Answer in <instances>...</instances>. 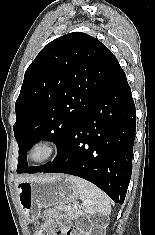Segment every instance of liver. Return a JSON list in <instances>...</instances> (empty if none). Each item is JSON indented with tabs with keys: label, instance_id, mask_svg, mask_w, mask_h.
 <instances>
[{
	"label": "liver",
	"instance_id": "1",
	"mask_svg": "<svg viewBox=\"0 0 155 235\" xmlns=\"http://www.w3.org/2000/svg\"><path fill=\"white\" fill-rule=\"evenodd\" d=\"M44 178V176H36V175H28V176H24V177H18L15 180V184L18 185L21 182H29V181H36V180H42Z\"/></svg>",
	"mask_w": 155,
	"mask_h": 235
}]
</instances>
